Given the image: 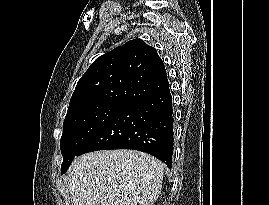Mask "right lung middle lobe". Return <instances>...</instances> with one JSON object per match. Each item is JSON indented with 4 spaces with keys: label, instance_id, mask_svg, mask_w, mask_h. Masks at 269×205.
Wrapping results in <instances>:
<instances>
[{
    "label": "right lung middle lobe",
    "instance_id": "obj_1",
    "mask_svg": "<svg viewBox=\"0 0 269 205\" xmlns=\"http://www.w3.org/2000/svg\"><path fill=\"white\" fill-rule=\"evenodd\" d=\"M126 107L118 103H99L77 108L66 115L60 140L62 173L67 171L87 142Z\"/></svg>",
    "mask_w": 269,
    "mask_h": 205
}]
</instances>
